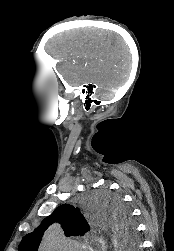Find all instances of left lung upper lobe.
Returning a JSON list of instances; mask_svg holds the SVG:
<instances>
[{
	"mask_svg": "<svg viewBox=\"0 0 174 251\" xmlns=\"http://www.w3.org/2000/svg\"><path fill=\"white\" fill-rule=\"evenodd\" d=\"M107 213L113 215L116 226L124 240L131 246L136 245V230L131 220L129 210L122 204L117 196L107 199ZM60 222L67 237L83 235L89 231L90 227L78 208L69 204H63L58 207L52 215L45 218L41 225L34 232L27 234L19 245V251H37L41 242L43 232L54 222Z\"/></svg>",
	"mask_w": 174,
	"mask_h": 251,
	"instance_id": "obj_1",
	"label": "left lung upper lobe"
}]
</instances>
